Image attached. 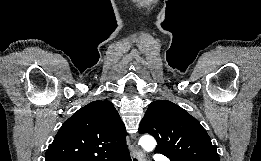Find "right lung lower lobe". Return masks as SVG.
<instances>
[{
	"mask_svg": "<svg viewBox=\"0 0 261 161\" xmlns=\"http://www.w3.org/2000/svg\"><path fill=\"white\" fill-rule=\"evenodd\" d=\"M103 161H131V158L129 152L126 151V152L116 154L111 158L104 159Z\"/></svg>",
	"mask_w": 261,
	"mask_h": 161,
	"instance_id": "98d812e1",
	"label": "right lung lower lobe"
}]
</instances>
